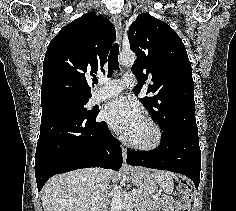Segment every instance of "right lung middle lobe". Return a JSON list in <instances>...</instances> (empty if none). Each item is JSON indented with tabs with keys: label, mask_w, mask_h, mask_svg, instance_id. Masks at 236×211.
<instances>
[{
	"label": "right lung middle lobe",
	"mask_w": 236,
	"mask_h": 211,
	"mask_svg": "<svg viewBox=\"0 0 236 211\" xmlns=\"http://www.w3.org/2000/svg\"><path fill=\"white\" fill-rule=\"evenodd\" d=\"M87 103L88 99L59 98L41 104L42 114L47 112L65 111L76 116L94 115L95 113L93 110L89 111L85 108Z\"/></svg>",
	"instance_id": "1"
}]
</instances>
